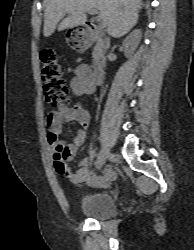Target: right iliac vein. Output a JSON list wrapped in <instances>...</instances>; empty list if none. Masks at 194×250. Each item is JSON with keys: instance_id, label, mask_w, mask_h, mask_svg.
Listing matches in <instances>:
<instances>
[{"instance_id": "right-iliac-vein-1", "label": "right iliac vein", "mask_w": 194, "mask_h": 250, "mask_svg": "<svg viewBox=\"0 0 194 250\" xmlns=\"http://www.w3.org/2000/svg\"><path fill=\"white\" fill-rule=\"evenodd\" d=\"M101 151L102 153L101 157L98 159L97 169H101L105 164L106 159L110 158V153L105 146L102 147Z\"/></svg>"}]
</instances>
